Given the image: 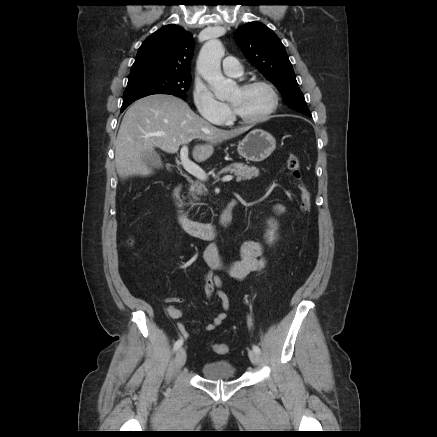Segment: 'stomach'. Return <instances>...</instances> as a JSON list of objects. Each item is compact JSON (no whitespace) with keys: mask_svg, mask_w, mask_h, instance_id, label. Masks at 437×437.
I'll list each match as a JSON object with an SVG mask.
<instances>
[{"mask_svg":"<svg viewBox=\"0 0 437 437\" xmlns=\"http://www.w3.org/2000/svg\"><path fill=\"white\" fill-rule=\"evenodd\" d=\"M275 148L276 140L270 133L255 129L238 143L237 151L247 161L261 162L268 158Z\"/></svg>","mask_w":437,"mask_h":437,"instance_id":"obj_1","label":"stomach"}]
</instances>
